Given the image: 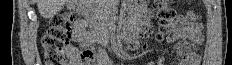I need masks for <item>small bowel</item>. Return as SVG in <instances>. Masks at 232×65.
I'll list each match as a JSON object with an SVG mask.
<instances>
[{"label": "small bowel", "instance_id": "small-bowel-1", "mask_svg": "<svg viewBox=\"0 0 232 65\" xmlns=\"http://www.w3.org/2000/svg\"><path fill=\"white\" fill-rule=\"evenodd\" d=\"M138 17H143L145 21L151 19L150 12H138ZM149 34H152V29L149 26H140L139 33H135V38H149ZM73 40L76 45H69L66 48V55L69 57L70 65H82L79 50L81 47L90 45L93 42V36L86 31V24L83 21H79L74 25ZM178 40H191L193 42V49L189 47V52L186 55H181L177 51V61L175 65H198L200 62V54L198 52L199 47L203 43V34L201 32V25L195 24L184 16L177 18L174 23L171 33L168 37L170 43ZM138 41L126 42V47H137ZM98 65H109V59L107 54L100 50L98 53ZM162 65V64H159Z\"/></svg>", "mask_w": 232, "mask_h": 65}]
</instances>
